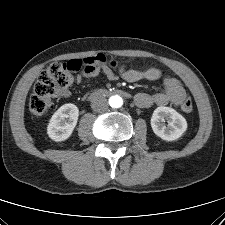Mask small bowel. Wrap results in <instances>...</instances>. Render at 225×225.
Returning a JSON list of instances; mask_svg holds the SVG:
<instances>
[{
	"mask_svg": "<svg viewBox=\"0 0 225 225\" xmlns=\"http://www.w3.org/2000/svg\"><path fill=\"white\" fill-rule=\"evenodd\" d=\"M98 75H103L110 81H114L118 77H122L128 82H137L142 79L154 81L160 78L162 71L158 68L152 67L145 72H142L135 69H127L125 65H121L117 74L107 63L105 57L101 55L100 60L91 70H84L82 73L77 75V81L81 82L86 77H96ZM60 95L62 97H68L70 92L64 90L60 93ZM185 97L186 91L182 82L175 77H169L163 81V87L160 92L154 94L140 92L135 95L134 100L138 107L148 108L154 105H180Z\"/></svg>",
	"mask_w": 225,
	"mask_h": 225,
	"instance_id": "obj_1",
	"label": "small bowel"
}]
</instances>
